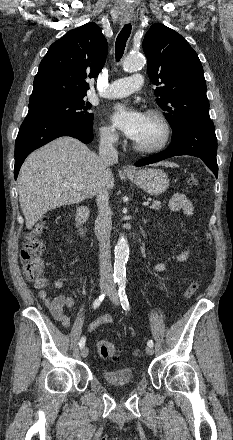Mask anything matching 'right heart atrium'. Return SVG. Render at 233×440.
Masks as SVG:
<instances>
[{
	"mask_svg": "<svg viewBox=\"0 0 233 440\" xmlns=\"http://www.w3.org/2000/svg\"><path fill=\"white\" fill-rule=\"evenodd\" d=\"M99 137L101 142L107 146H115L119 140L118 133L109 125H102L99 128Z\"/></svg>",
	"mask_w": 233,
	"mask_h": 440,
	"instance_id": "right-heart-atrium-1",
	"label": "right heart atrium"
}]
</instances>
